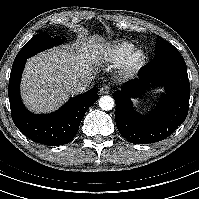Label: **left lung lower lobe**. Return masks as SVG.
<instances>
[{
	"label": "left lung lower lobe",
	"mask_w": 199,
	"mask_h": 199,
	"mask_svg": "<svg viewBox=\"0 0 199 199\" xmlns=\"http://www.w3.org/2000/svg\"><path fill=\"white\" fill-rule=\"evenodd\" d=\"M154 85L164 86L159 104L148 115H138L131 97L139 96ZM190 85L185 61L179 53L154 57L144 66L139 77L124 84L113 94L116 102L115 121L120 134L134 144L161 141L170 136L188 114Z\"/></svg>",
	"instance_id": "left-lung-lower-lobe-1"
}]
</instances>
